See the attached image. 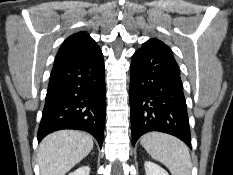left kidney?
<instances>
[{
    "mask_svg": "<svg viewBox=\"0 0 233 175\" xmlns=\"http://www.w3.org/2000/svg\"><path fill=\"white\" fill-rule=\"evenodd\" d=\"M144 167L146 175H169L165 169L150 161H146Z\"/></svg>",
    "mask_w": 233,
    "mask_h": 175,
    "instance_id": "left-kidney-1",
    "label": "left kidney"
}]
</instances>
